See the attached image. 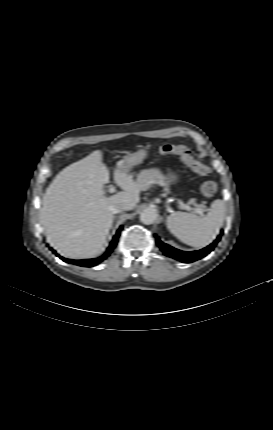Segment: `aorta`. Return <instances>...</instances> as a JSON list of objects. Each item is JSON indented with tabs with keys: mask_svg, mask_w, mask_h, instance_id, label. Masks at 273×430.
<instances>
[{
	"mask_svg": "<svg viewBox=\"0 0 273 430\" xmlns=\"http://www.w3.org/2000/svg\"><path fill=\"white\" fill-rule=\"evenodd\" d=\"M157 216H158V214H157L155 209L148 208V209H145L141 212L140 221L143 224L150 225V224H153L155 222V220L157 219Z\"/></svg>",
	"mask_w": 273,
	"mask_h": 430,
	"instance_id": "762f6f07",
	"label": "aorta"
}]
</instances>
